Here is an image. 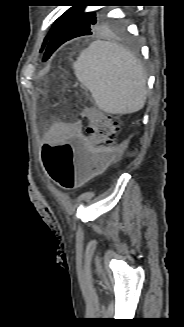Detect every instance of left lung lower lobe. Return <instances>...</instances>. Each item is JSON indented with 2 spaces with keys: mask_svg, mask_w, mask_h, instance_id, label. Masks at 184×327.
<instances>
[{
  "mask_svg": "<svg viewBox=\"0 0 184 327\" xmlns=\"http://www.w3.org/2000/svg\"><path fill=\"white\" fill-rule=\"evenodd\" d=\"M79 36H81L79 32L75 31L74 29L68 28L64 24L63 16H61L58 19L52 32V35L45 47V55L43 57V60H47L52 55V53L64 42Z\"/></svg>",
  "mask_w": 184,
  "mask_h": 327,
  "instance_id": "left-lung-lower-lobe-1",
  "label": "left lung lower lobe"
}]
</instances>
